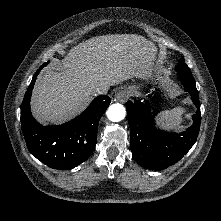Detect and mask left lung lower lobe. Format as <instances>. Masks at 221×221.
Wrapping results in <instances>:
<instances>
[{
    "label": "left lung lower lobe",
    "instance_id": "left-lung-lower-lobe-1",
    "mask_svg": "<svg viewBox=\"0 0 221 221\" xmlns=\"http://www.w3.org/2000/svg\"><path fill=\"white\" fill-rule=\"evenodd\" d=\"M186 92L197 107L193 124L182 133H168L155 127L147 100L126 102L130 126V147L136 162L151 170H163L178 162L197 140L200 123L198 91L191 73H178Z\"/></svg>",
    "mask_w": 221,
    "mask_h": 221
}]
</instances>
